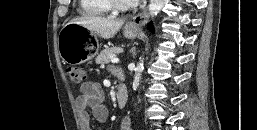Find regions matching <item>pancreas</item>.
<instances>
[{
	"mask_svg": "<svg viewBox=\"0 0 257 130\" xmlns=\"http://www.w3.org/2000/svg\"><path fill=\"white\" fill-rule=\"evenodd\" d=\"M119 51L118 47H111V48H106L103 51L100 52V54L96 58V63L105 65L108 64L112 57L115 56Z\"/></svg>",
	"mask_w": 257,
	"mask_h": 130,
	"instance_id": "pancreas-1",
	"label": "pancreas"
}]
</instances>
